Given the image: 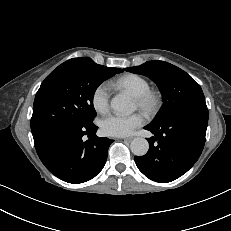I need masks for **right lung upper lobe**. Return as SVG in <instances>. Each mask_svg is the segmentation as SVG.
Masks as SVG:
<instances>
[{
  "label": "right lung upper lobe",
  "instance_id": "right-lung-upper-lobe-1",
  "mask_svg": "<svg viewBox=\"0 0 231 231\" xmlns=\"http://www.w3.org/2000/svg\"><path fill=\"white\" fill-rule=\"evenodd\" d=\"M89 57H83V58H73V59H70V60H86L88 59ZM90 59V58H89ZM68 60V61H70Z\"/></svg>",
  "mask_w": 231,
  "mask_h": 231
}]
</instances>
